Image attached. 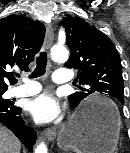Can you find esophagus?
Listing matches in <instances>:
<instances>
[{"label":"esophagus","mask_w":130,"mask_h":153,"mask_svg":"<svg viewBox=\"0 0 130 153\" xmlns=\"http://www.w3.org/2000/svg\"><path fill=\"white\" fill-rule=\"evenodd\" d=\"M53 40H54L53 28L50 24H47L46 25V35H45V44H44L45 49L47 51L52 46ZM55 136H56V128H48L44 133V137L48 141H52L55 138Z\"/></svg>","instance_id":"esophagus-1"}]
</instances>
